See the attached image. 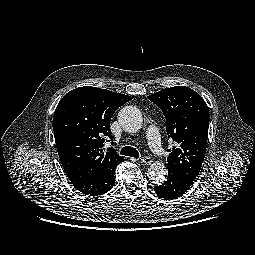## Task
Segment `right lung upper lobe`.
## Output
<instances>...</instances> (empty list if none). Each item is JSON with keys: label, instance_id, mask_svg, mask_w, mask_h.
I'll list each match as a JSON object with an SVG mask.
<instances>
[{"label": "right lung upper lobe", "instance_id": "cb5924a9", "mask_svg": "<svg viewBox=\"0 0 255 255\" xmlns=\"http://www.w3.org/2000/svg\"><path fill=\"white\" fill-rule=\"evenodd\" d=\"M132 97L91 86L68 92L53 116V131L60 161L68 178L104 175L124 161L114 148L102 149L112 140L110 120ZM110 141V140H107Z\"/></svg>", "mask_w": 255, "mask_h": 255}]
</instances>
